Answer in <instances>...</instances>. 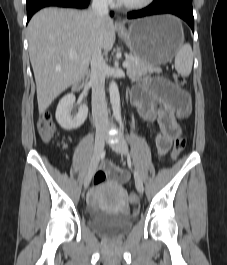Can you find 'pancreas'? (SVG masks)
<instances>
[{
	"label": "pancreas",
	"instance_id": "1",
	"mask_svg": "<svg viewBox=\"0 0 227 265\" xmlns=\"http://www.w3.org/2000/svg\"><path fill=\"white\" fill-rule=\"evenodd\" d=\"M129 66L127 67V75L130 79H139L147 73H161L159 67H155L151 64H146L136 57H130L127 59Z\"/></svg>",
	"mask_w": 227,
	"mask_h": 265
}]
</instances>
